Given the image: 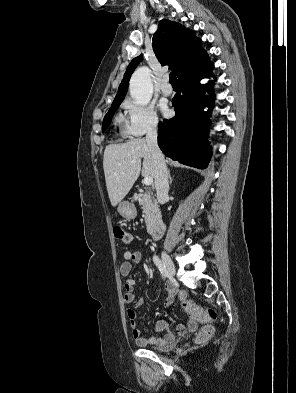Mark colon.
I'll list each match as a JSON object with an SVG mask.
<instances>
[{
	"instance_id": "5ec220e1",
	"label": "colon",
	"mask_w": 296,
	"mask_h": 393,
	"mask_svg": "<svg viewBox=\"0 0 296 393\" xmlns=\"http://www.w3.org/2000/svg\"><path fill=\"white\" fill-rule=\"evenodd\" d=\"M113 234L116 239L120 240L121 242L128 244L132 240V236L129 231L121 228V227H114ZM181 306L183 310H185L190 317L199 321V322H208L214 320L216 318V313L211 308H202L198 306L194 301L186 299L181 301ZM214 333V327L211 325H207L202 328L197 337V343H204L207 341Z\"/></svg>"
}]
</instances>
